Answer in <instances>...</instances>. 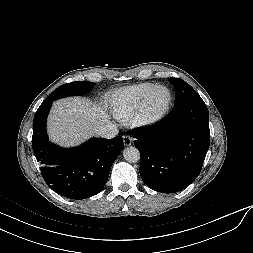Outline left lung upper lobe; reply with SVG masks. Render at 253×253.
<instances>
[{
	"label": "left lung upper lobe",
	"mask_w": 253,
	"mask_h": 253,
	"mask_svg": "<svg viewBox=\"0 0 253 253\" xmlns=\"http://www.w3.org/2000/svg\"><path fill=\"white\" fill-rule=\"evenodd\" d=\"M175 87L174 107L182 105L190 100L201 98L197 92L185 81L179 78H169Z\"/></svg>",
	"instance_id": "obj_1"
}]
</instances>
